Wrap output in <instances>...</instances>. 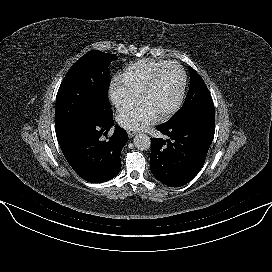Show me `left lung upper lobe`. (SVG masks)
Segmentation results:
<instances>
[{
	"label": "left lung upper lobe",
	"instance_id": "1",
	"mask_svg": "<svg viewBox=\"0 0 272 272\" xmlns=\"http://www.w3.org/2000/svg\"><path fill=\"white\" fill-rule=\"evenodd\" d=\"M190 88L182 108L166 124L174 126L189 120L215 119L214 105L201 76L192 68Z\"/></svg>",
	"mask_w": 272,
	"mask_h": 272
}]
</instances>
